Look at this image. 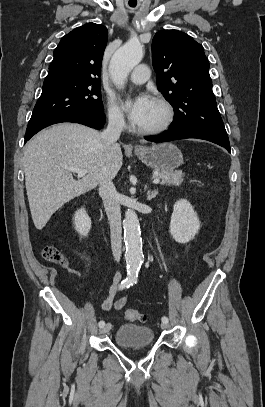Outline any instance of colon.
Here are the masks:
<instances>
[{"mask_svg":"<svg viewBox=\"0 0 265 407\" xmlns=\"http://www.w3.org/2000/svg\"><path fill=\"white\" fill-rule=\"evenodd\" d=\"M43 258L50 263L60 266H67L68 261L61 250L55 246H46L42 251ZM125 318L128 321H145L146 317L135 309H128L125 312Z\"/></svg>","mask_w":265,"mask_h":407,"instance_id":"colon-1","label":"colon"}]
</instances>
